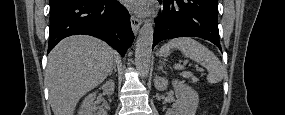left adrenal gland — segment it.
Here are the masks:
<instances>
[{
  "label": "left adrenal gland",
  "mask_w": 285,
  "mask_h": 115,
  "mask_svg": "<svg viewBox=\"0 0 285 115\" xmlns=\"http://www.w3.org/2000/svg\"><path fill=\"white\" fill-rule=\"evenodd\" d=\"M158 68L161 69V70H163V66H162V65L158 66Z\"/></svg>",
  "instance_id": "obj_1"
}]
</instances>
